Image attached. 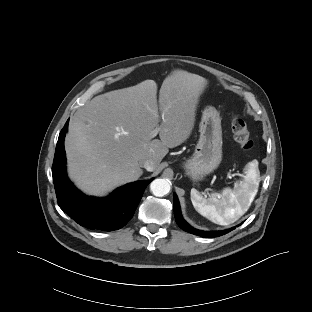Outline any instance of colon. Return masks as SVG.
I'll list each match as a JSON object with an SVG mask.
<instances>
[{"mask_svg":"<svg viewBox=\"0 0 312 312\" xmlns=\"http://www.w3.org/2000/svg\"><path fill=\"white\" fill-rule=\"evenodd\" d=\"M231 129L235 141L241 149L249 151L253 148V140L246 122L242 117L234 115L231 119Z\"/></svg>","mask_w":312,"mask_h":312,"instance_id":"5ec220e1","label":"colon"}]
</instances>
